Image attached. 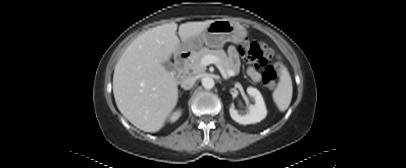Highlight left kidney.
<instances>
[{"instance_id": "5707ae66", "label": "left kidney", "mask_w": 406, "mask_h": 168, "mask_svg": "<svg viewBox=\"0 0 406 168\" xmlns=\"http://www.w3.org/2000/svg\"><path fill=\"white\" fill-rule=\"evenodd\" d=\"M247 93L253 98L254 104L247 107L245 113H239L234 106L229 109L231 118L239 124H252L262 121L267 115V109L259 90L253 87L247 88Z\"/></svg>"}]
</instances>
